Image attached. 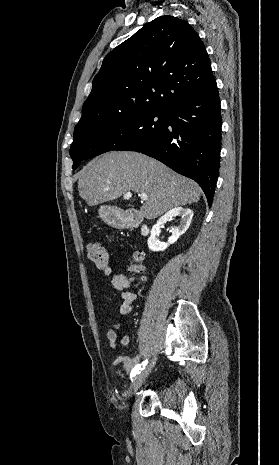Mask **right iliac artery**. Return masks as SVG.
<instances>
[{"label":"right iliac artery","instance_id":"right-iliac-artery-1","mask_svg":"<svg viewBox=\"0 0 279 465\" xmlns=\"http://www.w3.org/2000/svg\"><path fill=\"white\" fill-rule=\"evenodd\" d=\"M147 362H148V361L146 360V361H144L143 363L137 365V366L132 370V372H131V374H130V377H131V378L134 377L136 374L139 373L140 370H143V369L145 368V366L147 365Z\"/></svg>","mask_w":279,"mask_h":465}]
</instances>
